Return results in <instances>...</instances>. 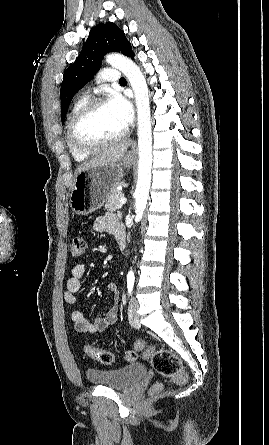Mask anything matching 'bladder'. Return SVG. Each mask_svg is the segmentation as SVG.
Listing matches in <instances>:
<instances>
[{
    "mask_svg": "<svg viewBox=\"0 0 269 445\" xmlns=\"http://www.w3.org/2000/svg\"><path fill=\"white\" fill-rule=\"evenodd\" d=\"M146 372L145 365L135 363L117 369H88L86 378L94 385L122 390L134 385Z\"/></svg>",
    "mask_w": 269,
    "mask_h": 445,
    "instance_id": "obj_1",
    "label": "bladder"
}]
</instances>
